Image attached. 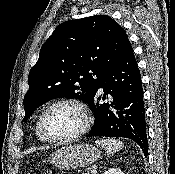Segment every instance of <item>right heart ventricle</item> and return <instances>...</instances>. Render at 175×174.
<instances>
[{
	"label": "right heart ventricle",
	"instance_id": "right-heart-ventricle-1",
	"mask_svg": "<svg viewBox=\"0 0 175 174\" xmlns=\"http://www.w3.org/2000/svg\"><path fill=\"white\" fill-rule=\"evenodd\" d=\"M35 132H36L37 138H38L40 141H42V142L46 141V140L44 139V137L42 136V134H41V132H40V129H39V119L37 120V123H36Z\"/></svg>",
	"mask_w": 175,
	"mask_h": 174
}]
</instances>
